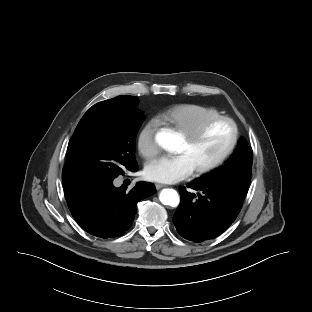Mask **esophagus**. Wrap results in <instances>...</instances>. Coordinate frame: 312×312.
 Returning a JSON list of instances; mask_svg holds the SVG:
<instances>
[{"label": "esophagus", "instance_id": "esophagus-1", "mask_svg": "<svg viewBox=\"0 0 312 312\" xmlns=\"http://www.w3.org/2000/svg\"><path fill=\"white\" fill-rule=\"evenodd\" d=\"M155 186H156L157 189H161V188L166 187L165 184H161V183H156Z\"/></svg>", "mask_w": 312, "mask_h": 312}]
</instances>
